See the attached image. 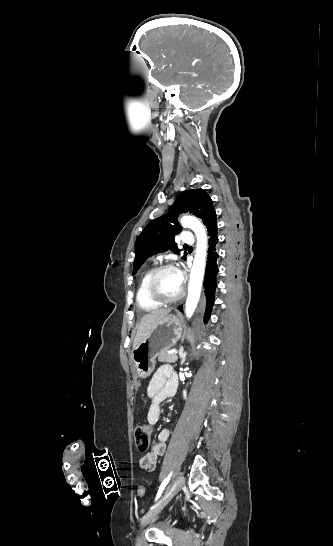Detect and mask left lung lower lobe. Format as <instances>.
<instances>
[{
  "label": "left lung lower lobe",
  "instance_id": "0a47b994",
  "mask_svg": "<svg viewBox=\"0 0 333 546\" xmlns=\"http://www.w3.org/2000/svg\"><path fill=\"white\" fill-rule=\"evenodd\" d=\"M206 232L208 235V255L207 264L205 270L204 289L206 296V310L204 316V322L206 323L210 317V311L215 300V291L217 287L216 276L219 271L216 252V244L218 242L217 236V218L214 215L206 226ZM182 311V305L178 307Z\"/></svg>",
  "mask_w": 333,
  "mask_h": 546
}]
</instances>
